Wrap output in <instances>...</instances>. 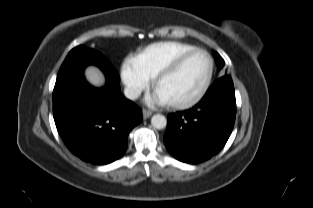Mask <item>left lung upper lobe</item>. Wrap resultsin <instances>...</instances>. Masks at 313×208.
I'll use <instances>...</instances> for the list:
<instances>
[{
	"instance_id": "left-lung-upper-lobe-1",
	"label": "left lung upper lobe",
	"mask_w": 313,
	"mask_h": 208,
	"mask_svg": "<svg viewBox=\"0 0 313 208\" xmlns=\"http://www.w3.org/2000/svg\"><path fill=\"white\" fill-rule=\"evenodd\" d=\"M214 57H215V61L217 63L218 70H221L225 64L224 60L222 59V57L217 52H214Z\"/></svg>"
}]
</instances>
